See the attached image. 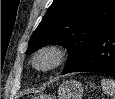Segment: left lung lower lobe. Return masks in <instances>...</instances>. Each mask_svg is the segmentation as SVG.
<instances>
[{
  "mask_svg": "<svg viewBox=\"0 0 115 99\" xmlns=\"http://www.w3.org/2000/svg\"><path fill=\"white\" fill-rule=\"evenodd\" d=\"M83 71L99 72L115 78V23L67 73Z\"/></svg>",
  "mask_w": 115,
  "mask_h": 99,
  "instance_id": "0a47b994",
  "label": "left lung lower lobe"
}]
</instances>
